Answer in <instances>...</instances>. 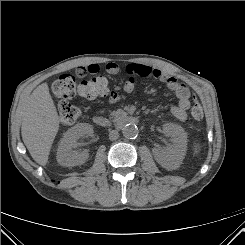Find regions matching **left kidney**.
Wrapping results in <instances>:
<instances>
[{"label":"left kidney","mask_w":245,"mask_h":245,"mask_svg":"<svg viewBox=\"0 0 245 245\" xmlns=\"http://www.w3.org/2000/svg\"><path fill=\"white\" fill-rule=\"evenodd\" d=\"M163 131L172 138L173 144L165 149L154 150V157L164 168H176L186 154L187 134L181 126L173 123L164 124Z\"/></svg>","instance_id":"1"}]
</instances>
